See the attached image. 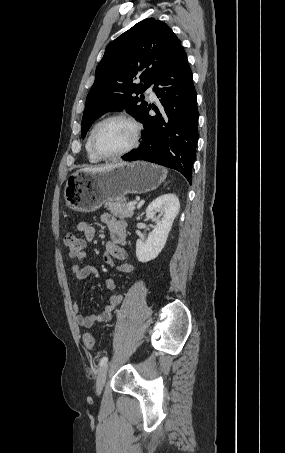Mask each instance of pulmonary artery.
I'll return each instance as SVG.
<instances>
[{
    "mask_svg": "<svg viewBox=\"0 0 285 453\" xmlns=\"http://www.w3.org/2000/svg\"><path fill=\"white\" fill-rule=\"evenodd\" d=\"M147 93L149 94L150 98L152 100H156L157 96H156V93H155V90H154V87L153 86H150L148 89H147Z\"/></svg>",
    "mask_w": 285,
    "mask_h": 453,
    "instance_id": "e3ab8cb5",
    "label": "pulmonary artery"
}]
</instances>
